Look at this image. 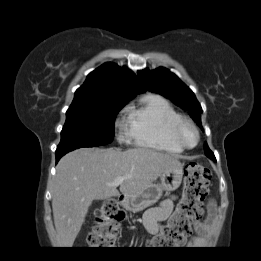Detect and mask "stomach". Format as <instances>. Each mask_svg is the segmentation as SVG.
Returning <instances> with one entry per match:
<instances>
[{
    "label": "stomach",
    "mask_w": 261,
    "mask_h": 261,
    "mask_svg": "<svg viewBox=\"0 0 261 261\" xmlns=\"http://www.w3.org/2000/svg\"><path fill=\"white\" fill-rule=\"evenodd\" d=\"M182 177L183 166L180 164L163 173L160 177V184H150L137 194L124 196L121 201L122 206L132 212L141 211L155 204L164 191L171 192L176 190L181 184Z\"/></svg>",
    "instance_id": "stomach-1"
}]
</instances>
